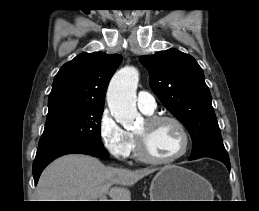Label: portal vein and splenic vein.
<instances>
[{
  "label": "portal vein and splenic vein",
  "instance_id": "1",
  "mask_svg": "<svg viewBox=\"0 0 259 211\" xmlns=\"http://www.w3.org/2000/svg\"><path fill=\"white\" fill-rule=\"evenodd\" d=\"M98 201H110L106 196H101Z\"/></svg>",
  "mask_w": 259,
  "mask_h": 211
}]
</instances>
